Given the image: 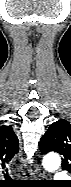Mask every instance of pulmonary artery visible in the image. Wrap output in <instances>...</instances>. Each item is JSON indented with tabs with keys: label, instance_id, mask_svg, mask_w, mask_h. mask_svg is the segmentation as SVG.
<instances>
[{
	"label": "pulmonary artery",
	"instance_id": "obj_1",
	"mask_svg": "<svg viewBox=\"0 0 71 187\" xmlns=\"http://www.w3.org/2000/svg\"><path fill=\"white\" fill-rule=\"evenodd\" d=\"M56 178H57V179H65V178H67V176H66L65 173H58V174L56 175Z\"/></svg>",
	"mask_w": 71,
	"mask_h": 187
}]
</instances>
